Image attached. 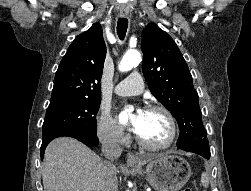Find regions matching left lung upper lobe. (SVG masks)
I'll use <instances>...</instances> for the list:
<instances>
[{
    "label": "left lung upper lobe",
    "instance_id": "obj_1",
    "mask_svg": "<svg viewBox=\"0 0 251 191\" xmlns=\"http://www.w3.org/2000/svg\"><path fill=\"white\" fill-rule=\"evenodd\" d=\"M141 49L142 71L151 93L178 122L180 136L177 147L201 145L210 152L199 97L176 43L156 24L149 23L142 32Z\"/></svg>",
    "mask_w": 251,
    "mask_h": 191
}]
</instances>
